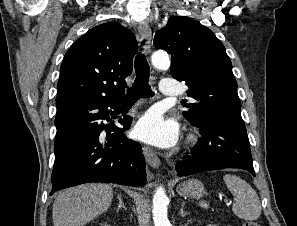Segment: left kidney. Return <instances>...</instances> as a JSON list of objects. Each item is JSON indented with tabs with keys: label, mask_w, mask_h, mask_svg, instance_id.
I'll return each mask as SVG.
<instances>
[{
	"label": "left kidney",
	"mask_w": 297,
	"mask_h": 226,
	"mask_svg": "<svg viewBox=\"0 0 297 226\" xmlns=\"http://www.w3.org/2000/svg\"><path fill=\"white\" fill-rule=\"evenodd\" d=\"M207 226H217V225H215V224H208Z\"/></svg>",
	"instance_id": "obj_1"
}]
</instances>
